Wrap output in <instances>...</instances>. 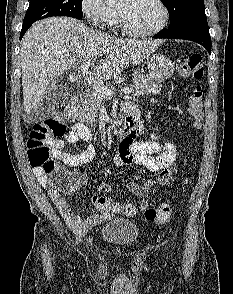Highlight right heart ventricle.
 I'll return each instance as SVG.
<instances>
[{
  "instance_id": "e07e8e85",
  "label": "right heart ventricle",
  "mask_w": 233,
  "mask_h": 294,
  "mask_svg": "<svg viewBox=\"0 0 233 294\" xmlns=\"http://www.w3.org/2000/svg\"><path fill=\"white\" fill-rule=\"evenodd\" d=\"M119 22V17H118V15H117V19H116V24Z\"/></svg>"
}]
</instances>
